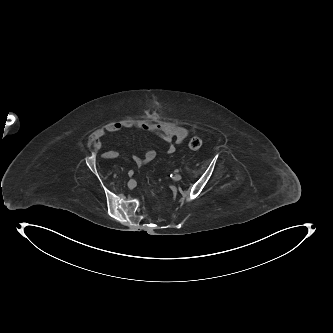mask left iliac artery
Instances as JSON below:
<instances>
[{"label":"left iliac artery","mask_w":333,"mask_h":333,"mask_svg":"<svg viewBox=\"0 0 333 333\" xmlns=\"http://www.w3.org/2000/svg\"><path fill=\"white\" fill-rule=\"evenodd\" d=\"M179 171H180V170H178V169L176 170V172H179Z\"/></svg>","instance_id":"1"}]
</instances>
